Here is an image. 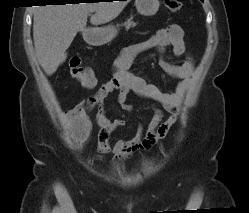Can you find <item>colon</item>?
<instances>
[{"mask_svg": "<svg viewBox=\"0 0 249 213\" xmlns=\"http://www.w3.org/2000/svg\"><path fill=\"white\" fill-rule=\"evenodd\" d=\"M166 7L173 12L182 9L181 0H165ZM70 73L72 77L83 87H92L96 83V77L91 68L84 66L79 57H72L69 60Z\"/></svg>", "mask_w": 249, "mask_h": 213, "instance_id": "colon-1", "label": "colon"}]
</instances>
